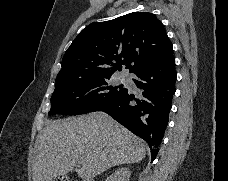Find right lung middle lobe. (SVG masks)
Masks as SVG:
<instances>
[{"mask_svg":"<svg viewBox=\"0 0 228 181\" xmlns=\"http://www.w3.org/2000/svg\"><path fill=\"white\" fill-rule=\"evenodd\" d=\"M110 77L111 75H108L56 86L51 97L49 115H77L102 111L126 91L123 85H111Z\"/></svg>","mask_w":228,"mask_h":181,"instance_id":"1","label":"right lung middle lobe"}]
</instances>
